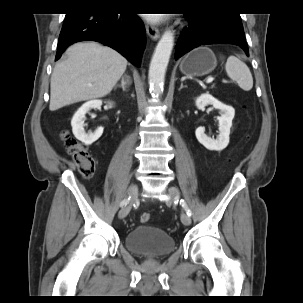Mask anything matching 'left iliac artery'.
Segmentation results:
<instances>
[{
  "label": "left iliac artery",
  "mask_w": 303,
  "mask_h": 303,
  "mask_svg": "<svg viewBox=\"0 0 303 303\" xmlns=\"http://www.w3.org/2000/svg\"><path fill=\"white\" fill-rule=\"evenodd\" d=\"M180 204H181V206L185 209L187 215H188V216H191V215H192V212H191V210L189 209V207H188L187 203L185 202V200L181 199V200H180Z\"/></svg>",
  "instance_id": "obj_1"
}]
</instances>
